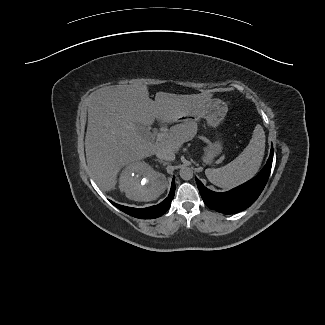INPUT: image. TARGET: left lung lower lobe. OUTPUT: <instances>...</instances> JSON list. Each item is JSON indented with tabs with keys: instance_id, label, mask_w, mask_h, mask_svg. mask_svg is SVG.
<instances>
[{
	"instance_id": "obj_1",
	"label": "left lung lower lobe",
	"mask_w": 325,
	"mask_h": 325,
	"mask_svg": "<svg viewBox=\"0 0 325 325\" xmlns=\"http://www.w3.org/2000/svg\"><path fill=\"white\" fill-rule=\"evenodd\" d=\"M273 147L264 168L253 179L227 192H214L206 188L196 178V183L204 203L223 214H234L251 206L264 189L272 167Z\"/></svg>"
}]
</instances>
